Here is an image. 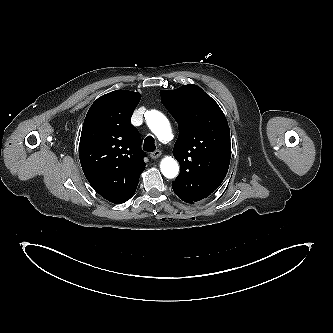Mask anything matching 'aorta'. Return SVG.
Wrapping results in <instances>:
<instances>
[{"label": "aorta", "mask_w": 333, "mask_h": 333, "mask_svg": "<svg viewBox=\"0 0 333 333\" xmlns=\"http://www.w3.org/2000/svg\"><path fill=\"white\" fill-rule=\"evenodd\" d=\"M147 125L161 142H167L171 138V127L168 119L158 111H151L147 116ZM162 174L166 178H174L178 175V163L172 157H165L160 164Z\"/></svg>", "instance_id": "obj_1"}]
</instances>
